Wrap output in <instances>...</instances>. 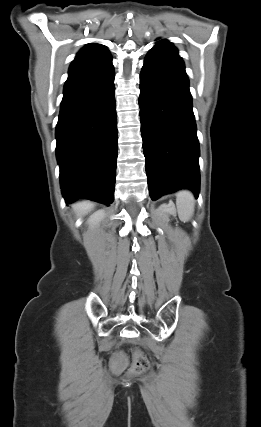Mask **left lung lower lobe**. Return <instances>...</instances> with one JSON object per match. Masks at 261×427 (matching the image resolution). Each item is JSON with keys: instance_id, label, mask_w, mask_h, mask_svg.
<instances>
[{"instance_id": "0a47b994", "label": "left lung lower lobe", "mask_w": 261, "mask_h": 427, "mask_svg": "<svg viewBox=\"0 0 261 427\" xmlns=\"http://www.w3.org/2000/svg\"><path fill=\"white\" fill-rule=\"evenodd\" d=\"M140 121L152 200L188 188L198 197L199 143L184 62L153 47L140 74Z\"/></svg>"}]
</instances>
